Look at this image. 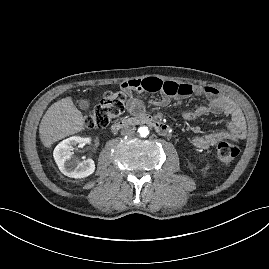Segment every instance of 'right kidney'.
I'll return each instance as SVG.
<instances>
[{"mask_svg": "<svg viewBox=\"0 0 269 269\" xmlns=\"http://www.w3.org/2000/svg\"><path fill=\"white\" fill-rule=\"evenodd\" d=\"M90 143V138L72 136L60 142L54 149L53 156L60 171L72 178H85L95 171V163L92 159L80 162L79 159L70 152L78 144L82 147Z\"/></svg>", "mask_w": 269, "mask_h": 269, "instance_id": "right-kidney-1", "label": "right kidney"}]
</instances>
